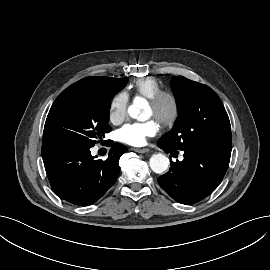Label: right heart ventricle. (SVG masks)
I'll list each match as a JSON object with an SVG mask.
<instances>
[{"instance_id": "e07e8e85", "label": "right heart ventricle", "mask_w": 270, "mask_h": 270, "mask_svg": "<svg viewBox=\"0 0 270 270\" xmlns=\"http://www.w3.org/2000/svg\"><path fill=\"white\" fill-rule=\"evenodd\" d=\"M130 89L134 94L145 98H151L163 89V85L154 77H142L133 81Z\"/></svg>"}]
</instances>
